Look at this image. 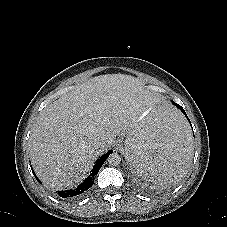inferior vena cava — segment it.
<instances>
[{
	"label": "inferior vena cava",
	"instance_id": "inferior-vena-cava-1",
	"mask_svg": "<svg viewBox=\"0 0 227 227\" xmlns=\"http://www.w3.org/2000/svg\"><path fill=\"white\" fill-rule=\"evenodd\" d=\"M104 144H105V143H104L103 141H95V142L93 143V147H94L95 149H99V148L103 147Z\"/></svg>",
	"mask_w": 227,
	"mask_h": 227
}]
</instances>
